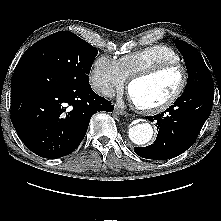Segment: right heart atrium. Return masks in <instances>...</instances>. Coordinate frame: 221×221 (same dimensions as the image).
<instances>
[{
    "label": "right heart atrium",
    "mask_w": 221,
    "mask_h": 221,
    "mask_svg": "<svg viewBox=\"0 0 221 221\" xmlns=\"http://www.w3.org/2000/svg\"><path fill=\"white\" fill-rule=\"evenodd\" d=\"M127 78L122 73L118 62L108 55H99L92 63L89 82L99 94L110 95L121 90Z\"/></svg>",
    "instance_id": "1"
}]
</instances>
